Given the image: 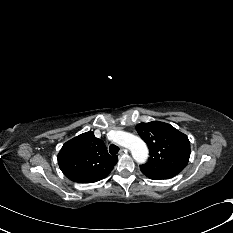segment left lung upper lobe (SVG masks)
<instances>
[{"instance_id":"obj_1","label":"left lung upper lobe","mask_w":233,"mask_h":233,"mask_svg":"<svg viewBox=\"0 0 233 233\" xmlns=\"http://www.w3.org/2000/svg\"><path fill=\"white\" fill-rule=\"evenodd\" d=\"M136 130L149 148V160L140 165L145 176L169 179L185 168L190 157V142L185 134L159 121L137 124Z\"/></svg>"}]
</instances>
